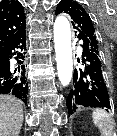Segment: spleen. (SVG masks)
Segmentation results:
<instances>
[{"label":"spleen","instance_id":"1","mask_svg":"<svg viewBox=\"0 0 117 136\" xmlns=\"http://www.w3.org/2000/svg\"><path fill=\"white\" fill-rule=\"evenodd\" d=\"M94 124L101 131L103 136H110L112 133V121L110 115L103 109H96L92 113Z\"/></svg>","mask_w":117,"mask_h":136}]
</instances>
